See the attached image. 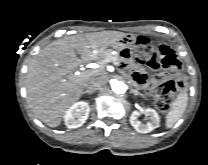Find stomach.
Here are the masks:
<instances>
[{
	"label": "stomach",
	"mask_w": 208,
	"mask_h": 165,
	"mask_svg": "<svg viewBox=\"0 0 208 165\" xmlns=\"http://www.w3.org/2000/svg\"><path fill=\"white\" fill-rule=\"evenodd\" d=\"M135 43H136V38L135 37H133V36L132 37L124 36L120 40L113 43L111 46H112L113 49L120 52L121 49H123V48L131 49L134 46Z\"/></svg>",
	"instance_id": "obj_1"
}]
</instances>
